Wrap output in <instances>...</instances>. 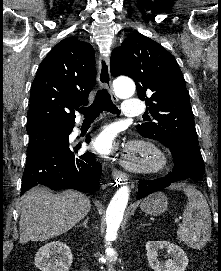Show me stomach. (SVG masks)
Masks as SVG:
<instances>
[{
    "label": "stomach",
    "mask_w": 221,
    "mask_h": 271,
    "mask_svg": "<svg viewBox=\"0 0 221 271\" xmlns=\"http://www.w3.org/2000/svg\"><path fill=\"white\" fill-rule=\"evenodd\" d=\"M142 211L149 215H161L163 211L168 209V197L163 191H156L145 197L141 203Z\"/></svg>",
    "instance_id": "1"
}]
</instances>
